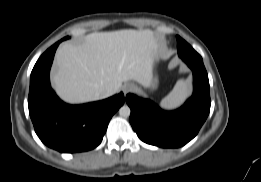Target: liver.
I'll list each match as a JSON object with an SVG mask.
<instances>
[{"mask_svg": "<svg viewBox=\"0 0 261 182\" xmlns=\"http://www.w3.org/2000/svg\"><path fill=\"white\" fill-rule=\"evenodd\" d=\"M156 53L157 39L148 29L88 34L82 44L64 43L57 50L54 88L66 102L85 103L104 98L107 89L117 93L129 80L148 87Z\"/></svg>", "mask_w": 261, "mask_h": 182, "instance_id": "1", "label": "liver"}]
</instances>
